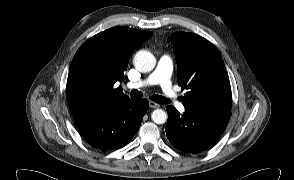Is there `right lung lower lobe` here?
I'll return each instance as SVG.
<instances>
[{
    "label": "right lung lower lobe",
    "mask_w": 294,
    "mask_h": 180,
    "mask_svg": "<svg viewBox=\"0 0 294 180\" xmlns=\"http://www.w3.org/2000/svg\"><path fill=\"white\" fill-rule=\"evenodd\" d=\"M147 99L118 101L75 119L83 138L93 147L110 150L127 144L140 127Z\"/></svg>",
    "instance_id": "obj_1"
}]
</instances>
